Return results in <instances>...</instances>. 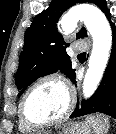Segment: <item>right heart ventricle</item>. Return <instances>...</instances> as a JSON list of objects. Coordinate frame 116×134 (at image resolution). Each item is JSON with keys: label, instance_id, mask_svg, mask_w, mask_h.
Wrapping results in <instances>:
<instances>
[{"label": "right heart ventricle", "instance_id": "obj_1", "mask_svg": "<svg viewBox=\"0 0 116 134\" xmlns=\"http://www.w3.org/2000/svg\"><path fill=\"white\" fill-rule=\"evenodd\" d=\"M18 127H19V130L23 133H29L31 131L34 130V128H31L29 127L28 125H26L20 118L19 116V121H18Z\"/></svg>", "mask_w": 116, "mask_h": 134}]
</instances>
